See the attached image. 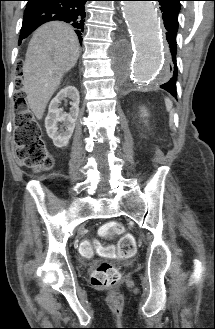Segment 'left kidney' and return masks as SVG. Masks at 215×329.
Masks as SVG:
<instances>
[{"instance_id":"left-kidney-1","label":"left kidney","mask_w":215,"mask_h":329,"mask_svg":"<svg viewBox=\"0 0 215 329\" xmlns=\"http://www.w3.org/2000/svg\"><path fill=\"white\" fill-rule=\"evenodd\" d=\"M141 112H142V116L143 117H146V116H148V113H147V110L143 107V108H141Z\"/></svg>"}]
</instances>
